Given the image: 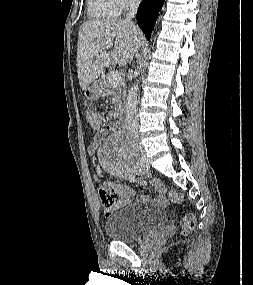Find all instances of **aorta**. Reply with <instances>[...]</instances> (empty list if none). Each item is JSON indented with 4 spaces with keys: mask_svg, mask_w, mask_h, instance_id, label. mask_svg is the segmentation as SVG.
<instances>
[{
    "mask_svg": "<svg viewBox=\"0 0 253 285\" xmlns=\"http://www.w3.org/2000/svg\"><path fill=\"white\" fill-rule=\"evenodd\" d=\"M138 91H139V83L137 81L131 86L126 98L125 115L128 123L133 122L136 114Z\"/></svg>",
    "mask_w": 253,
    "mask_h": 285,
    "instance_id": "762f6f07",
    "label": "aorta"
}]
</instances>
